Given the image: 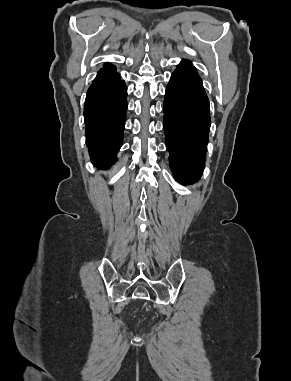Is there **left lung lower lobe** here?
Masks as SVG:
<instances>
[{
    "label": "left lung lower lobe",
    "instance_id": "obj_1",
    "mask_svg": "<svg viewBox=\"0 0 291 381\" xmlns=\"http://www.w3.org/2000/svg\"><path fill=\"white\" fill-rule=\"evenodd\" d=\"M209 111L200 76L190 61L182 60L166 89L163 126L171 169L183 184L198 181L203 172L211 124Z\"/></svg>",
    "mask_w": 291,
    "mask_h": 381
}]
</instances>
